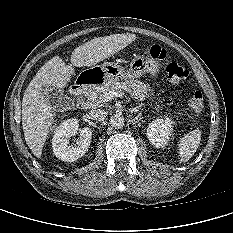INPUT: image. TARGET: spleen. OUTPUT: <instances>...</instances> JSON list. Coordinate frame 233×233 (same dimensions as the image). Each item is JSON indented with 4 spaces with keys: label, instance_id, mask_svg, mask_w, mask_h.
I'll use <instances>...</instances> for the list:
<instances>
[{
    "label": "spleen",
    "instance_id": "1",
    "mask_svg": "<svg viewBox=\"0 0 233 233\" xmlns=\"http://www.w3.org/2000/svg\"><path fill=\"white\" fill-rule=\"evenodd\" d=\"M201 141V131L195 129L186 134L178 143L181 162L188 161L196 152Z\"/></svg>",
    "mask_w": 233,
    "mask_h": 233
}]
</instances>
